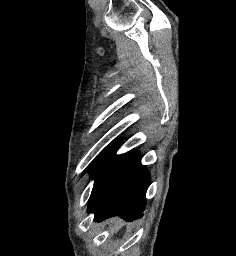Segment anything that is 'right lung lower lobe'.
Wrapping results in <instances>:
<instances>
[{
  "mask_svg": "<svg viewBox=\"0 0 236 256\" xmlns=\"http://www.w3.org/2000/svg\"><path fill=\"white\" fill-rule=\"evenodd\" d=\"M140 160L137 151L120 155L96 178L88 204L95 221L117 215L132 221L143 215L150 175Z\"/></svg>",
  "mask_w": 236,
  "mask_h": 256,
  "instance_id": "1",
  "label": "right lung lower lobe"
}]
</instances>
